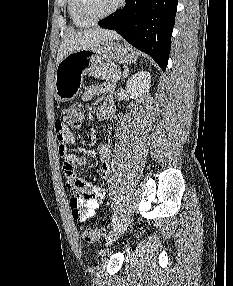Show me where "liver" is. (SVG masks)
<instances>
[{
  "label": "liver",
  "mask_w": 233,
  "mask_h": 286,
  "mask_svg": "<svg viewBox=\"0 0 233 286\" xmlns=\"http://www.w3.org/2000/svg\"><path fill=\"white\" fill-rule=\"evenodd\" d=\"M119 38L120 36L115 31L102 29L100 27L67 33L58 50L57 64L74 51L91 49L108 40Z\"/></svg>",
  "instance_id": "liver-1"
}]
</instances>
